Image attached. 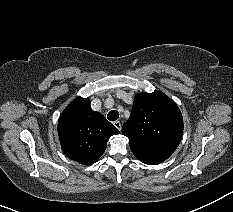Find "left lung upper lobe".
<instances>
[{
    "label": "left lung upper lobe",
    "instance_id": "1",
    "mask_svg": "<svg viewBox=\"0 0 233 212\" xmlns=\"http://www.w3.org/2000/svg\"><path fill=\"white\" fill-rule=\"evenodd\" d=\"M122 133L129 138L130 148L140 161L157 165L169 158L181 141V111L160 91L137 94Z\"/></svg>",
    "mask_w": 233,
    "mask_h": 212
}]
</instances>
